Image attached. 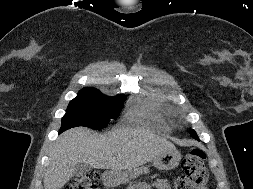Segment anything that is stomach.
Masks as SVG:
<instances>
[{"label":"stomach","instance_id":"stomach-1","mask_svg":"<svg viewBox=\"0 0 253 189\" xmlns=\"http://www.w3.org/2000/svg\"><path fill=\"white\" fill-rule=\"evenodd\" d=\"M181 154L179 151L167 150L153 159V165L159 170H171L179 165ZM128 172L106 171L103 174V182L106 185L114 186L125 182L129 178Z\"/></svg>","mask_w":253,"mask_h":189}]
</instances>
